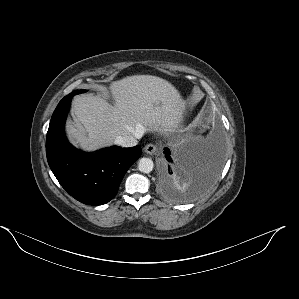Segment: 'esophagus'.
Instances as JSON below:
<instances>
[{
    "instance_id": "34e87169",
    "label": "esophagus",
    "mask_w": 299,
    "mask_h": 299,
    "mask_svg": "<svg viewBox=\"0 0 299 299\" xmlns=\"http://www.w3.org/2000/svg\"><path fill=\"white\" fill-rule=\"evenodd\" d=\"M158 148L155 144H147L145 147H144V151L147 153V154H155L157 152Z\"/></svg>"
}]
</instances>
